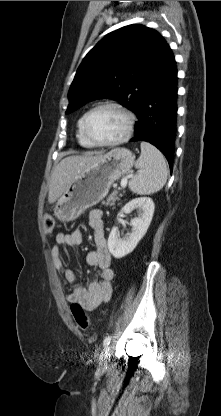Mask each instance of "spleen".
<instances>
[{"mask_svg":"<svg viewBox=\"0 0 221 416\" xmlns=\"http://www.w3.org/2000/svg\"><path fill=\"white\" fill-rule=\"evenodd\" d=\"M141 155L135 163L138 173L129 181V189L139 195L153 194L163 188L168 169L163 154L152 144L141 142Z\"/></svg>","mask_w":221,"mask_h":416,"instance_id":"spleen-1","label":"spleen"}]
</instances>
